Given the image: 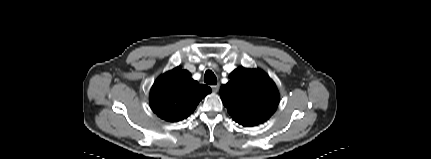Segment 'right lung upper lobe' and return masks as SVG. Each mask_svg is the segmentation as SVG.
Returning a JSON list of instances; mask_svg holds the SVG:
<instances>
[{"label":"right lung upper lobe","mask_w":431,"mask_h":159,"mask_svg":"<svg viewBox=\"0 0 431 159\" xmlns=\"http://www.w3.org/2000/svg\"><path fill=\"white\" fill-rule=\"evenodd\" d=\"M210 92V87L200 85L188 71L176 67L155 81L150 91V106L160 118L177 122L187 118Z\"/></svg>","instance_id":"cb5924a9"}]
</instances>
